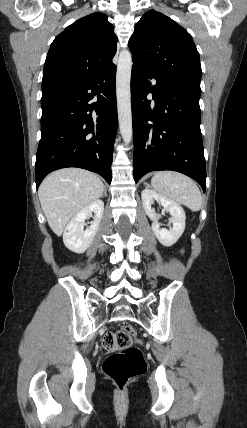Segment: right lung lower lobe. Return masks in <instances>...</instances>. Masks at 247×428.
<instances>
[{"mask_svg":"<svg viewBox=\"0 0 247 428\" xmlns=\"http://www.w3.org/2000/svg\"><path fill=\"white\" fill-rule=\"evenodd\" d=\"M96 98L97 101L91 103ZM41 140L35 163L36 189L56 169L84 168L109 184L118 119L116 66L82 85L42 93Z\"/></svg>","mask_w":247,"mask_h":428,"instance_id":"obj_1","label":"right lung lower lobe"}]
</instances>
